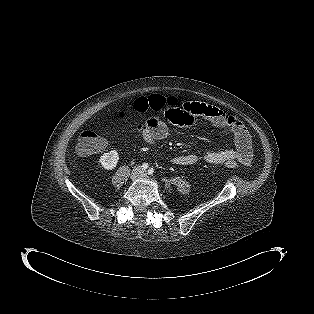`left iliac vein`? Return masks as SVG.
I'll use <instances>...</instances> for the list:
<instances>
[{
    "label": "left iliac vein",
    "instance_id": "left-iliac-vein-1",
    "mask_svg": "<svg viewBox=\"0 0 314 314\" xmlns=\"http://www.w3.org/2000/svg\"><path fill=\"white\" fill-rule=\"evenodd\" d=\"M142 176H146V172L145 171L142 172Z\"/></svg>",
    "mask_w": 314,
    "mask_h": 314
}]
</instances>
